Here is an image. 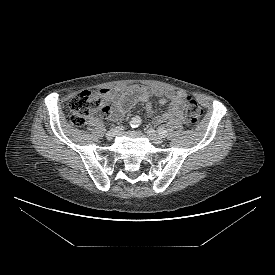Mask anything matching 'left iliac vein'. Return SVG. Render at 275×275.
<instances>
[{
    "instance_id": "obj_1",
    "label": "left iliac vein",
    "mask_w": 275,
    "mask_h": 275,
    "mask_svg": "<svg viewBox=\"0 0 275 275\" xmlns=\"http://www.w3.org/2000/svg\"><path fill=\"white\" fill-rule=\"evenodd\" d=\"M146 133H147L148 138H149L154 144L160 145V144L163 143L162 137H161L160 135H158V134L156 133L155 130H153V129L150 128V129H148V130L146 131Z\"/></svg>"
}]
</instances>
